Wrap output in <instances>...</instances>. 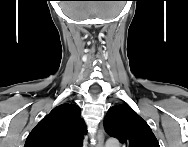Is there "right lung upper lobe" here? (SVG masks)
Instances as JSON below:
<instances>
[{
  "label": "right lung upper lobe",
  "instance_id": "right-lung-upper-lobe-1",
  "mask_svg": "<svg viewBox=\"0 0 188 147\" xmlns=\"http://www.w3.org/2000/svg\"><path fill=\"white\" fill-rule=\"evenodd\" d=\"M86 131L77 105L55 107L28 135L25 147H82Z\"/></svg>",
  "mask_w": 188,
  "mask_h": 147
}]
</instances>
